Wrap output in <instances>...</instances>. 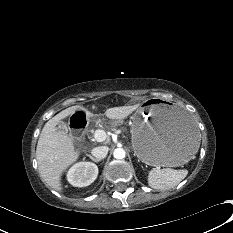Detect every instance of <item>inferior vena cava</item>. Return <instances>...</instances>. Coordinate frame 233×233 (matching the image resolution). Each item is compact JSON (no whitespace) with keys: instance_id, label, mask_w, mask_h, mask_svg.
Here are the masks:
<instances>
[{"instance_id":"obj_1","label":"inferior vena cava","mask_w":233,"mask_h":233,"mask_svg":"<svg viewBox=\"0 0 233 233\" xmlns=\"http://www.w3.org/2000/svg\"><path fill=\"white\" fill-rule=\"evenodd\" d=\"M109 148L107 146H99L92 149L91 153L97 159H104L108 154Z\"/></svg>"}]
</instances>
